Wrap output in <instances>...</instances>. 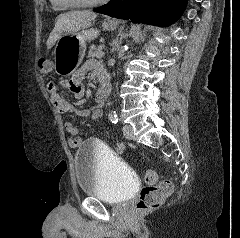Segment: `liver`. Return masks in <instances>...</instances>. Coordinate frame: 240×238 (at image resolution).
Masks as SVG:
<instances>
[{
    "instance_id": "6515ba94",
    "label": "liver",
    "mask_w": 240,
    "mask_h": 238,
    "mask_svg": "<svg viewBox=\"0 0 240 238\" xmlns=\"http://www.w3.org/2000/svg\"><path fill=\"white\" fill-rule=\"evenodd\" d=\"M97 14L91 11H70L57 17L54 29L46 42L47 48L54 46L55 42L64 34L77 32L89 27Z\"/></svg>"
}]
</instances>
